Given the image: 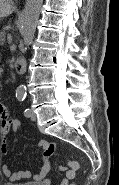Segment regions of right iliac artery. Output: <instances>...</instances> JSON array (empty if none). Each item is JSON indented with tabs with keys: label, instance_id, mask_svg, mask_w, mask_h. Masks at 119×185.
<instances>
[{
	"label": "right iliac artery",
	"instance_id": "obj_1",
	"mask_svg": "<svg viewBox=\"0 0 119 185\" xmlns=\"http://www.w3.org/2000/svg\"><path fill=\"white\" fill-rule=\"evenodd\" d=\"M17 97H18V98H19V97H23V94L19 93V94L17 95Z\"/></svg>",
	"mask_w": 119,
	"mask_h": 185
}]
</instances>
